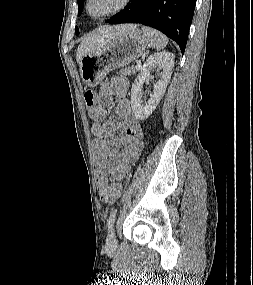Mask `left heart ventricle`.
I'll list each match as a JSON object with an SVG mask.
<instances>
[{
    "label": "left heart ventricle",
    "mask_w": 253,
    "mask_h": 285,
    "mask_svg": "<svg viewBox=\"0 0 253 285\" xmlns=\"http://www.w3.org/2000/svg\"><path fill=\"white\" fill-rule=\"evenodd\" d=\"M122 0H92L89 5L90 13L99 15L115 9L120 5Z\"/></svg>",
    "instance_id": "b2bd125f"
}]
</instances>
